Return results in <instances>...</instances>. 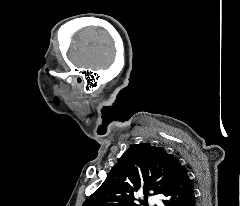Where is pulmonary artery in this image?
Wrapping results in <instances>:
<instances>
[{
  "instance_id": "1",
  "label": "pulmonary artery",
  "mask_w": 240,
  "mask_h": 206,
  "mask_svg": "<svg viewBox=\"0 0 240 206\" xmlns=\"http://www.w3.org/2000/svg\"><path fill=\"white\" fill-rule=\"evenodd\" d=\"M149 201H150V203L155 204L158 202V199L156 197L152 196L149 198Z\"/></svg>"
}]
</instances>
